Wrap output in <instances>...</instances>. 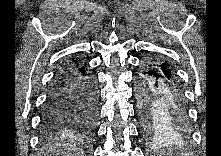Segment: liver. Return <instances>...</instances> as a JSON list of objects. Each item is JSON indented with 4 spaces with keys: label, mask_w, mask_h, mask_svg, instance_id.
Instances as JSON below:
<instances>
[{
    "label": "liver",
    "mask_w": 221,
    "mask_h": 156,
    "mask_svg": "<svg viewBox=\"0 0 221 156\" xmlns=\"http://www.w3.org/2000/svg\"><path fill=\"white\" fill-rule=\"evenodd\" d=\"M63 149H59L57 151H63V155L66 156H74L77 154L78 148H76L74 145L72 144H64L62 145Z\"/></svg>",
    "instance_id": "6515ba94"
}]
</instances>
